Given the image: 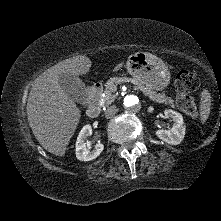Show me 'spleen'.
<instances>
[{"mask_svg":"<svg viewBox=\"0 0 221 221\" xmlns=\"http://www.w3.org/2000/svg\"><path fill=\"white\" fill-rule=\"evenodd\" d=\"M210 113V94L208 91L204 90L202 92V97H201V105H200V118L201 122L204 123Z\"/></svg>","mask_w":221,"mask_h":221,"instance_id":"1","label":"spleen"}]
</instances>
